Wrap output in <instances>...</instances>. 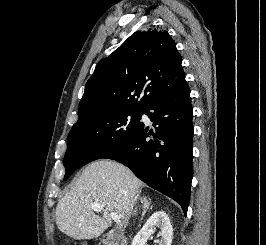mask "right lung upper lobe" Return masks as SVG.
<instances>
[{
    "mask_svg": "<svg viewBox=\"0 0 266 245\" xmlns=\"http://www.w3.org/2000/svg\"><path fill=\"white\" fill-rule=\"evenodd\" d=\"M182 58L167 31L133 33L96 66L85 85L79 119L92 112L124 107L146 109L161 94L185 80ZM144 96L137 102L135 97Z\"/></svg>",
    "mask_w": 266,
    "mask_h": 245,
    "instance_id": "right-lung-upper-lobe-1",
    "label": "right lung upper lobe"
}]
</instances>
